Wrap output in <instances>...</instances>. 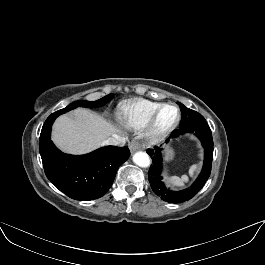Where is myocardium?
<instances>
[{"mask_svg":"<svg viewBox=\"0 0 265 265\" xmlns=\"http://www.w3.org/2000/svg\"><path fill=\"white\" fill-rule=\"evenodd\" d=\"M167 107H174L176 109V117L174 121L167 127L160 128L158 126V118L161 112ZM181 119V112L179 107L174 103H163L151 115L146 125L144 126L145 137L151 142H157L167 137L179 124Z\"/></svg>","mask_w":265,"mask_h":265,"instance_id":"obj_1","label":"myocardium"}]
</instances>
